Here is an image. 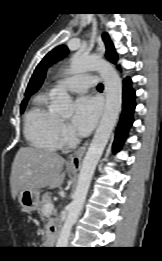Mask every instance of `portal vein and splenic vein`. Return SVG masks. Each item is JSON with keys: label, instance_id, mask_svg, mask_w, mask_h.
Wrapping results in <instances>:
<instances>
[{"label": "portal vein and splenic vein", "instance_id": "1", "mask_svg": "<svg viewBox=\"0 0 162 261\" xmlns=\"http://www.w3.org/2000/svg\"><path fill=\"white\" fill-rule=\"evenodd\" d=\"M53 209H54V205L51 202L44 205V213L45 214H50L53 211Z\"/></svg>", "mask_w": 162, "mask_h": 261}]
</instances>
